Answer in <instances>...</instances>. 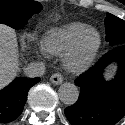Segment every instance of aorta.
<instances>
[{
	"mask_svg": "<svg viewBox=\"0 0 125 125\" xmlns=\"http://www.w3.org/2000/svg\"><path fill=\"white\" fill-rule=\"evenodd\" d=\"M79 96L78 87L73 84L66 82L59 88L60 100L66 105H73L77 101Z\"/></svg>",
	"mask_w": 125,
	"mask_h": 125,
	"instance_id": "1",
	"label": "aorta"
}]
</instances>
